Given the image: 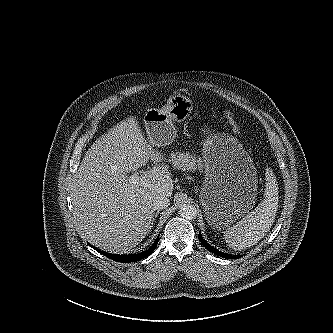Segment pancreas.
Returning <instances> with one entry per match:
<instances>
[{
    "label": "pancreas",
    "mask_w": 333,
    "mask_h": 333,
    "mask_svg": "<svg viewBox=\"0 0 333 333\" xmlns=\"http://www.w3.org/2000/svg\"><path fill=\"white\" fill-rule=\"evenodd\" d=\"M170 162H172L175 169H180L182 171H195L196 169L202 171L204 167L201 158L188 152H173L170 156Z\"/></svg>",
    "instance_id": "obj_1"
}]
</instances>
